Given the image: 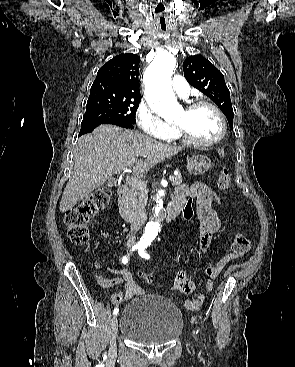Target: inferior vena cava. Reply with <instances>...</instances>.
Returning a JSON list of instances; mask_svg holds the SVG:
<instances>
[{"label": "inferior vena cava", "mask_w": 295, "mask_h": 367, "mask_svg": "<svg viewBox=\"0 0 295 367\" xmlns=\"http://www.w3.org/2000/svg\"><path fill=\"white\" fill-rule=\"evenodd\" d=\"M140 229L139 223L136 221L135 217L131 222V232L127 237V245L131 246L135 243V233Z\"/></svg>", "instance_id": "obj_1"}]
</instances>
